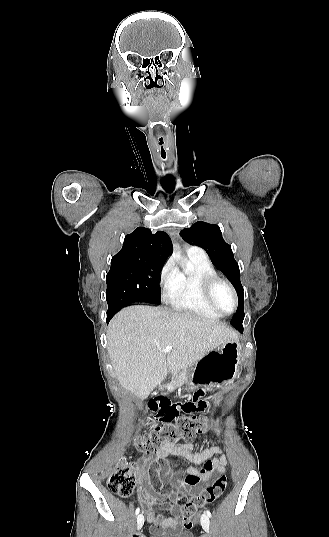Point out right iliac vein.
<instances>
[{
	"instance_id": "right-iliac-vein-1",
	"label": "right iliac vein",
	"mask_w": 329,
	"mask_h": 537,
	"mask_svg": "<svg viewBox=\"0 0 329 537\" xmlns=\"http://www.w3.org/2000/svg\"><path fill=\"white\" fill-rule=\"evenodd\" d=\"M136 522H137V529L140 530L144 524V516L142 514H139Z\"/></svg>"
}]
</instances>
